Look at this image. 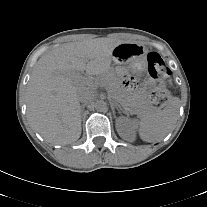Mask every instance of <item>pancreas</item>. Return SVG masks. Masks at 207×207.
Here are the masks:
<instances>
[{
  "label": "pancreas",
  "mask_w": 207,
  "mask_h": 207,
  "mask_svg": "<svg viewBox=\"0 0 207 207\" xmlns=\"http://www.w3.org/2000/svg\"><path fill=\"white\" fill-rule=\"evenodd\" d=\"M102 84L106 87L107 91L110 94L114 96L118 95L120 88L115 79L105 78ZM121 103L129 108H132L134 112L141 117H147L155 111V108L152 106L151 102L140 99V98H137L133 103H130V104H125L124 102H121Z\"/></svg>",
  "instance_id": "1"
}]
</instances>
